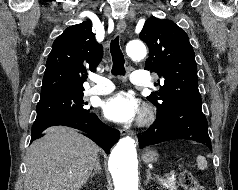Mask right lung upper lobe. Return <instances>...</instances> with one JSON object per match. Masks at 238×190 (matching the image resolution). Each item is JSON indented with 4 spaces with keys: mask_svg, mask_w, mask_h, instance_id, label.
<instances>
[{
    "mask_svg": "<svg viewBox=\"0 0 238 190\" xmlns=\"http://www.w3.org/2000/svg\"><path fill=\"white\" fill-rule=\"evenodd\" d=\"M102 56L90 21L66 28L48 56L40 98L83 92L87 72L96 70Z\"/></svg>",
    "mask_w": 238,
    "mask_h": 190,
    "instance_id": "obj_1",
    "label": "right lung upper lobe"
}]
</instances>
